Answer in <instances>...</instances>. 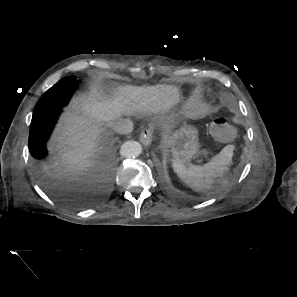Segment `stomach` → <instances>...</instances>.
Wrapping results in <instances>:
<instances>
[{
  "label": "stomach",
  "instance_id": "1",
  "mask_svg": "<svg viewBox=\"0 0 297 297\" xmlns=\"http://www.w3.org/2000/svg\"><path fill=\"white\" fill-rule=\"evenodd\" d=\"M164 145L170 149L173 162L178 161L184 165L189 164L192 158L201 154L198 130L187 124L166 136Z\"/></svg>",
  "mask_w": 297,
  "mask_h": 297
}]
</instances>
